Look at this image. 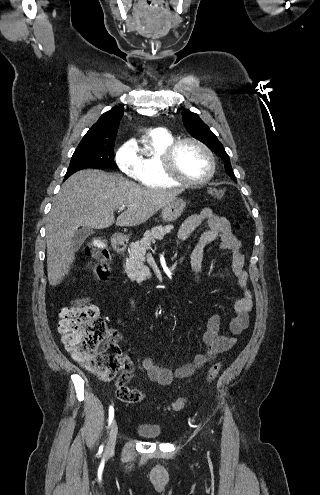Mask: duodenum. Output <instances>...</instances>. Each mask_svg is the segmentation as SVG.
Listing matches in <instances>:
<instances>
[{"instance_id": "obj_1", "label": "duodenum", "mask_w": 320, "mask_h": 495, "mask_svg": "<svg viewBox=\"0 0 320 495\" xmlns=\"http://www.w3.org/2000/svg\"><path fill=\"white\" fill-rule=\"evenodd\" d=\"M113 247L117 252H124L126 249V240L120 234H115L113 236Z\"/></svg>"}]
</instances>
